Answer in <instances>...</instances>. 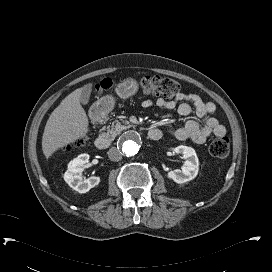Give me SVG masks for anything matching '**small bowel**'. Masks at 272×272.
<instances>
[{"instance_id":"small-bowel-1","label":"small bowel","mask_w":272,"mask_h":272,"mask_svg":"<svg viewBox=\"0 0 272 272\" xmlns=\"http://www.w3.org/2000/svg\"><path fill=\"white\" fill-rule=\"evenodd\" d=\"M154 104L166 109H173L178 104L177 112L180 116L186 117L194 112L202 120V125L193 119H189L181 128L169 129L170 135L177 140L190 139L201 144L211 135L220 137L227 133V127L212 116L216 109L214 103L205 102L198 94L179 93L175 100L166 101L159 98L155 103L150 99H146L143 101L142 106L150 108Z\"/></svg>"}]
</instances>
